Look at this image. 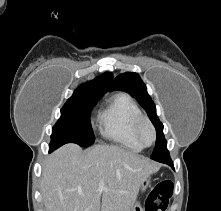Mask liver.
Returning a JSON list of instances; mask_svg holds the SVG:
<instances>
[{"label":"liver","instance_id":"obj_1","mask_svg":"<svg viewBox=\"0 0 221 211\" xmlns=\"http://www.w3.org/2000/svg\"><path fill=\"white\" fill-rule=\"evenodd\" d=\"M158 170L143 156L114 145L83 151L66 144L43 164L41 190L46 211H130L142 180ZM103 181L104 190H99Z\"/></svg>","mask_w":221,"mask_h":211}]
</instances>
